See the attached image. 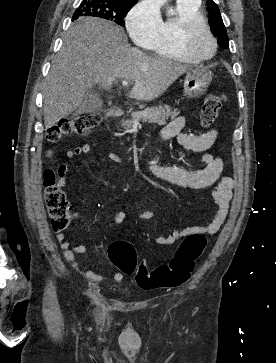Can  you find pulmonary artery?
<instances>
[{"mask_svg": "<svg viewBox=\"0 0 276 363\" xmlns=\"http://www.w3.org/2000/svg\"><path fill=\"white\" fill-rule=\"evenodd\" d=\"M182 1H199V0H182Z\"/></svg>", "mask_w": 276, "mask_h": 363, "instance_id": "1", "label": "pulmonary artery"}]
</instances>
